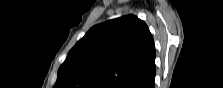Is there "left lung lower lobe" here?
I'll list each match as a JSON object with an SVG mask.
<instances>
[{"label": "left lung lower lobe", "instance_id": "left-lung-lower-lobe-1", "mask_svg": "<svg viewBox=\"0 0 223 88\" xmlns=\"http://www.w3.org/2000/svg\"><path fill=\"white\" fill-rule=\"evenodd\" d=\"M155 73L156 68L154 67L147 75L136 82L131 88H154Z\"/></svg>", "mask_w": 223, "mask_h": 88}]
</instances>
